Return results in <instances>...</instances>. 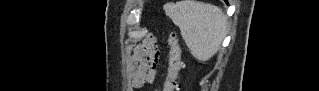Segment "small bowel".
<instances>
[{
    "instance_id": "1",
    "label": "small bowel",
    "mask_w": 319,
    "mask_h": 91,
    "mask_svg": "<svg viewBox=\"0 0 319 91\" xmlns=\"http://www.w3.org/2000/svg\"><path fill=\"white\" fill-rule=\"evenodd\" d=\"M150 44H153L158 50V60L157 65L154 68L145 70L140 65V58L143 53L149 48ZM145 46L147 47L145 51H137L132 60L131 69L133 72V83L135 86H140L146 82H151L154 79L159 67L160 52L158 49L157 38L155 36H150L148 39H146Z\"/></svg>"
}]
</instances>
